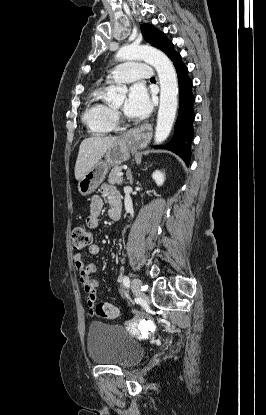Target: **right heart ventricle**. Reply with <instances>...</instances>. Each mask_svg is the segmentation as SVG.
Returning <instances> with one entry per match:
<instances>
[{
	"label": "right heart ventricle",
	"mask_w": 266,
	"mask_h": 415,
	"mask_svg": "<svg viewBox=\"0 0 266 415\" xmlns=\"http://www.w3.org/2000/svg\"><path fill=\"white\" fill-rule=\"evenodd\" d=\"M105 88L94 89L88 99L83 113V121L90 131L97 135H104L116 127L115 111L104 99Z\"/></svg>",
	"instance_id": "right-heart-ventricle-1"
}]
</instances>
